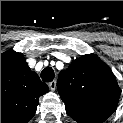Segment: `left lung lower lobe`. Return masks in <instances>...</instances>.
Here are the masks:
<instances>
[{
  "label": "left lung lower lobe",
  "instance_id": "obj_1",
  "mask_svg": "<svg viewBox=\"0 0 123 123\" xmlns=\"http://www.w3.org/2000/svg\"><path fill=\"white\" fill-rule=\"evenodd\" d=\"M77 122L78 123H98V122H94V121L87 120V119H78Z\"/></svg>",
  "mask_w": 123,
  "mask_h": 123
}]
</instances>
